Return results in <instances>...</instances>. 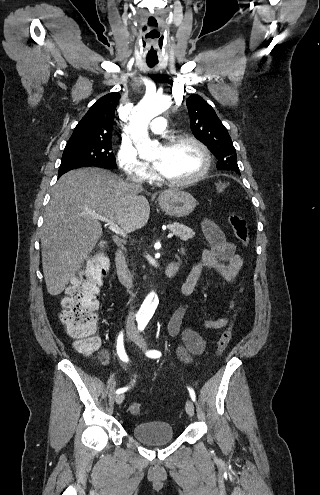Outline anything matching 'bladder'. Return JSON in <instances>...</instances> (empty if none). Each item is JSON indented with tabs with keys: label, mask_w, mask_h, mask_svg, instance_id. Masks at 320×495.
I'll list each match as a JSON object with an SVG mask.
<instances>
[{
	"label": "bladder",
	"mask_w": 320,
	"mask_h": 495,
	"mask_svg": "<svg viewBox=\"0 0 320 495\" xmlns=\"http://www.w3.org/2000/svg\"><path fill=\"white\" fill-rule=\"evenodd\" d=\"M133 435L146 444H165L174 439V430L170 423L164 421H149L136 424Z\"/></svg>",
	"instance_id": "31cf9c89"
}]
</instances>
